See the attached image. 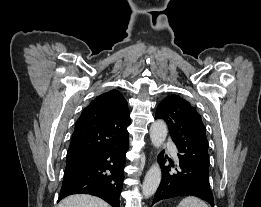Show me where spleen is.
<instances>
[{
    "mask_svg": "<svg viewBox=\"0 0 261 207\" xmlns=\"http://www.w3.org/2000/svg\"><path fill=\"white\" fill-rule=\"evenodd\" d=\"M177 207H208L207 204L197 197L189 196L184 198Z\"/></svg>",
    "mask_w": 261,
    "mask_h": 207,
    "instance_id": "obj_1",
    "label": "spleen"
}]
</instances>
